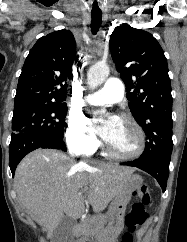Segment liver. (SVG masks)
<instances>
[{"mask_svg":"<svg viewBox=\"0 0 187 242\" xmlns=\"http://www.w3.org/2000/svg\"><path fill=\"white\" fill-rule=\"evenodd\" d=\"M133 172L119 165H78L60 151L38 149L18 165L15 189L20 203L51 238L64 215L78 219L84 214L85 203L102 212L124 191Z\"/></svg>","mask_w":187,"mask_h":242,"instance_id":"1","label":"liver"}]
</instances>
